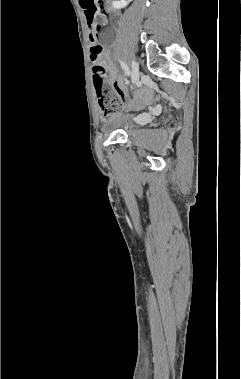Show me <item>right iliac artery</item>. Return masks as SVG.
I'll list each match as a JSON object with an SVG mask.
<instances>
[{
	"label": "right iliac artery",
	"instance_id": "obj_1",
	"mask_svg": "<svg viewBox=\"0 0 241 379\" xmlns=\"http://www.w3.org/2000/svg\"><path fill=\"white\" fill-rule=\"evenodd\" d=\"M120 64H121V67L123 68L124 72L126 73V75L130 76L131 72H130L128 65L123 61H120Z\"/></svg>",
	"mask_w": 241,
	"mask_h": 379
}]
</instances>
